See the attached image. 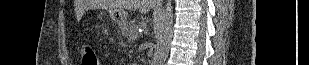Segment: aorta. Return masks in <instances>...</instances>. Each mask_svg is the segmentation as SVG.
<instances>
[{"instance_id":"1","label":"aorta","mask_w":309,"mask_h":65,"mask_svg":"<svg viewBox=\"0 0 309 65\" xmlns=\"http://www.w3.org/2000/svg\"><path fill=\"white\" fill-rule=\"evenodd\" d=\"M157 44L151 65H164L170 50L173 37V6L172 0H167L165 11L158 20Z\"/></svg>"}]
</instances>
